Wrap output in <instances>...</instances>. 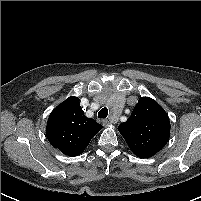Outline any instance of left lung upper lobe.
<instances>
[{"instance_id": "obj_1", "label": "left lung upper lobe", "mask_w": 201, "mask_h": 201, "mask_svg": "<svg viewBox=\"0 0 201 201\" xmlns=\"http://www.w3.org/2000/svg\"><path fill=\"white\" fill-rule=\"evenodd\" d=\"M118 130L136 156L148 158L168 142L170 121L164 109L155 100L141 97L131 116Z\"/></svg>"}]
</instances>
